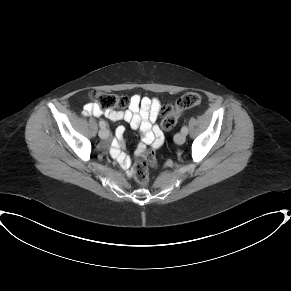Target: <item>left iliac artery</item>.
<instances>
[{
	"label": "left iliac artery",
	"instance_id": "1",
	"mask_svg": "<svg viewBox=\"0 0 291 291\" xmlns=\"http://www.w3.org/2000/svg\"><path fill=\"white\" fill-rule=\"evenodd\" d=\"M181 132L184 133V134H187V133H188V128H187V126L184 125V126L182 127V129H181Z\"/></svg>",
	"mask_w": 291,
	"mask_h": 291
}]
</instances>
